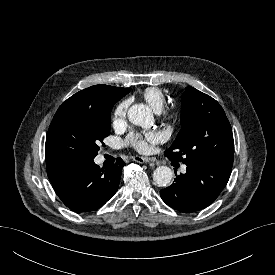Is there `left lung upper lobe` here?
<instances>
[{"mask_svg": "<svg viewBox=\"0 0 275 275\" xmlns=\"http://www.w3.org/2000/svg\"><path fill=\"white\" fill-rule=\"evenodd\" d=\"M181 127L176 140L165 151L171 161L233 165L231 125L215 99L193 87H186L182 95Z\"/></svg>", "mask_w": 275, "mask_h": 275, "instance_id": "5c2ea615", "label": "left lung upper lobe"}]
</instances>
